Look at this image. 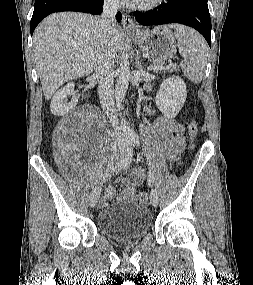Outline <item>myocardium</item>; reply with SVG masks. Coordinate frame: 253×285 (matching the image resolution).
<instances>
[{
	"mask_svg": "<svg viewBox=\"0 0 253 285\" xmlns=\"http://www.w3.org/2000/svg\"><path fill=\"white\" fill-rule=\"evenodd\" d=\"M164 0H143V1H136L133 4V7L139 10H151L163 3Z\"/></svg>",
	"mask_w": 253,
	"mask_h": 285,
	"instance_id": "1",
	"label": "myocardium"
}]
</instances>
